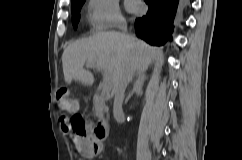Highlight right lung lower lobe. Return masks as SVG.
<instances>
[{"label": "right lung lower lobe", "mask_w": 242, "mask_h": 160, "mask_svg": "<svg viewBox=\"0 0 242 160\" xmlns=\"http://www.w3.org/2000/svg\"><path fill=\"white\" fill-rule=\"evenodd\" d=\"M148 4L145 16L135 20L137 36L152 45H163L170 38L177 10L188 0H144Z\"/></svg>", "instance_id": "1"}]
</instances>
